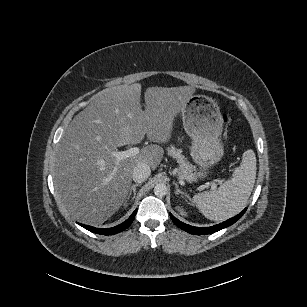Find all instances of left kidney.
<instances>
[{
  "label": "left kidney",
  "mask_w": 307,
  "mask_h": 307,
  "mask_svg": "<svg viewBox=\"0 0 307 307\" xmlns=\"http://www.w3.org/2000/svg\"><path fill=\"white\" fill-rule=\"evenodd\" d=\"M176 210L179 211L180 215L187 216V212L180 206H176Z\"/></svg>",
  "instance_id": "1"
}]
</instances>
